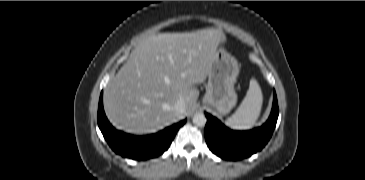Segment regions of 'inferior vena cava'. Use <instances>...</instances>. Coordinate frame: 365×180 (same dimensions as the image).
Returning <instances> with one entry per match:
<instances>
[{"label":"inferior vena cava","mask_w":365,"mask_h":180,"mask_svg":"<svg viewBox=\"0 0 365 180\" xmlns=\"http://www.w3.org/2000/svg\"><path fill=\"white\" fill-rule=\"evenodd\" d=\"M174 110L178 114H183L185 112V101L184 99L180 98L174 105Z\"/></svg>","instance_id":"inferior-vena-cava-1"}]
</instances>
